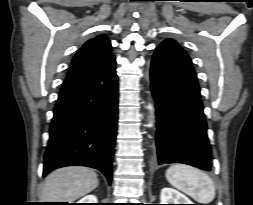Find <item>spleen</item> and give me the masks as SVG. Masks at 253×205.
<instances>
[{
  "mask_svg": "<svg viewBox=\"0 0 253 205\" xmlns=\"http://www.w3.org/2000/svg\"><path fill=\"white\" fill-rule=\"evenodd\" d=\"M165 176L175 188L201 204H208L215 198L216 187L213 180L197 168L174 164L167 169Z\"/></svg>",
  "mask_w": 253,
  "mask_h": 205,
  "instance_id": "3e777b00",
  "label": "spleen"
}]
</instances>
